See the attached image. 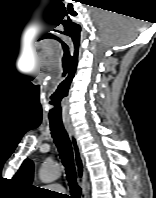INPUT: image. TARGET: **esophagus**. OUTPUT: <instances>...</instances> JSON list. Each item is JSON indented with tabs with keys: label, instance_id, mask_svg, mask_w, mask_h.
I'll return each instance as SVG.
<instances>
[{
	"label": "esophagus",
	"instance_id": "esophagus-1",
	"mask_svg": "<svg viewBox=\"0 0 156 198\" xmlns=\"http://www.w3.org/2000/svg\"><path fill=\"white\" fill-rule=\"evenodd\" d=\"M65 129L69 135L72 149H73V156H74V163L75 168L78 176V181L81 186V198H86V169L85 163L81 152V147L77 136L75 134L74 128L70 123H64Z\"/></svg>",
	"mask_w": 156,
	"mask_h": 198
}]
</instances>
